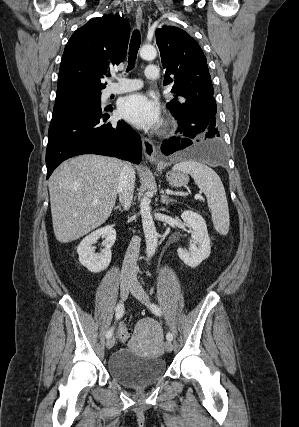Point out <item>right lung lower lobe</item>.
Wrapping results in <instances>:
<instances>
[{"label":"right lung lower lobe","instance_id":"right-lung-lower-lobe-1","mask_svg":"<svg viewBox=\"0 0 299 427\" xmlns=\"http://www.w3.org/2000/svg\"><path fill=\"white\" fill-rule=\"evenodd\" d=\"M111 107L83 102L53 111L46 151L47 179L64 160L79 154L113 156L133 163L142 159L140 136L124 121L106 122Z\"/></svg>","mask_w":299,"mask_h":427}]
</instances>
